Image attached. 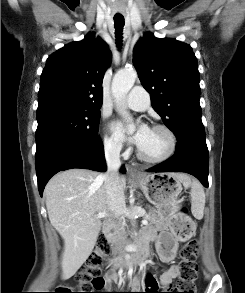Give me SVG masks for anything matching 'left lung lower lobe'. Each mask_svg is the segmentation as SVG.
<instances>
[{
  "instance_id": "0a47b994",
  "label": "left lung lower lobe",
  "mask_w": 245,
  "mask_h": 293,
  "mask_svg": "<svg viewBox=\"0 0 245 293\" xmlns=\"http://www.w3.org/2000/svg\"><path fill=\"white\" fill-rule=\"evenodd\" d=\"M175 154L148 172H186L208 187L209 154L205 138L185 136L177 139Z\"/></svg>"
}]
</instances>
